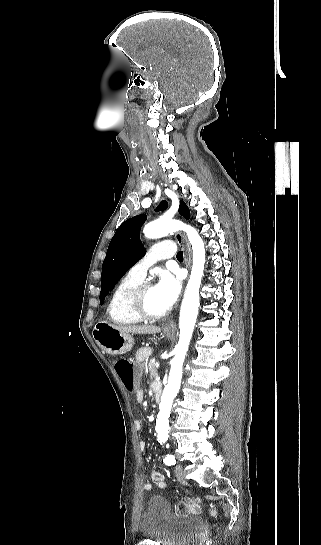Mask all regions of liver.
I'll return each mask as SVG.
<instances>
[{"mask_svg":"<svg viewBox=\"0 0 321 545\" xmlns=\"http://www.w3.org/2000/svg\"><path fill=\"white\" fill-rule=\"evenodd\" d=\"M120 333H135V335H154L161 333L160 327L154 325H115Z\"/></svg>","mask_w":321,"mask_h":545,"instance_id":"6515ba94","label":"liver"}]
</instances>
